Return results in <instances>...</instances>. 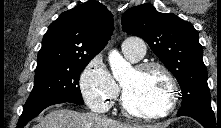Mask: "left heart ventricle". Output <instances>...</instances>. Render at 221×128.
<instances>
[{
	"label": "left heart ventricle",
	"mask_w": 221,
	"mask_h": 128,
	"mask_svg": "<svg viewBox=\"0 0 221 128\" xmlns=\"http://www.w3.org/2000/svg\"><path fill=\"white\" fill-rule=\"evenodd\" d=\"M128 106L136 112H154L166 105L169 88L157 70L138 73L135 69L122 82Z\"/></svg>",
	"instance_id": "1"
}]
</instances>
